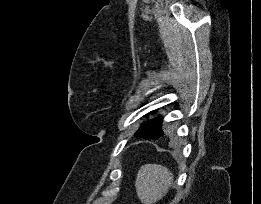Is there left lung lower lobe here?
I'll list each match as a JSON object with an SVG mask.
<instances>
[{
    "instance_id": "0a47b994",
    "label": "left lung lower lobe",
    "mask_w": 261,
    "mask_h": 204,
    "mask_svg": "<svg viewBox=\"0 0 261 204\" xmlns=\"http://www.w3.org/2000/svg\"><path fill=\"white\" fill-rule=\"evenodd\" d=\"M162 135H163V132H161L156 138H158V137H160ZM156 138H154V139H156Z\"/></svg>"
}]
</instances>
